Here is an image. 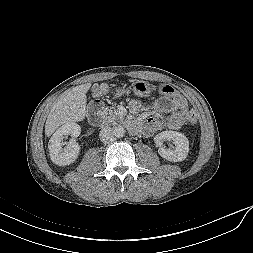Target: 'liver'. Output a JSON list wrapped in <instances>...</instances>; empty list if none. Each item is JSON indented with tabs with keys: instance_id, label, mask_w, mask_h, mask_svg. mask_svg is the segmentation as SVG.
I'll return each mask as SVG.
<instances>
[{
	"instance_id": "6515ba94",
	"label": "liver",
	"mask_w": 253,
	"mask_h": 253,
	"mask_svg": "<svg viewBox=\"0 0 253 253\" xmlns=\"http://www.w3.org/2000/svg\"><path fill=\"white\" fill-rule=\"evenodd\" d=\"M90 87L91 83H86L68 89L61 94L48 114L45 124L46 136H51L62 124L75 123L85 118L86 93Z\"/></svg>"
}]
</instances>
